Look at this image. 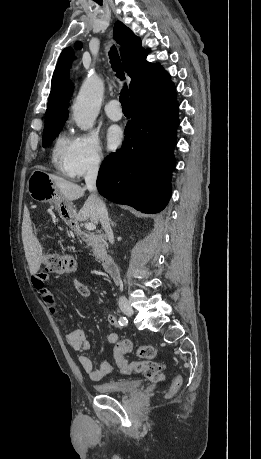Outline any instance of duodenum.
Listing matches in <instances>:
<instances>
[{
    "label": "duodenum",
    "mask_w": 261,
    "mask_h": 459,
    "mask_svg": "<svg viewBox=\"0 0 261 459\" xmlns=\"http://www.w3.org/2000/svg\"><path fill=\"white\" fill-rule=\"evenodd\" d=\"M74 231L79 235L82 239L86 240L87 236L78 228L74 227ZM103 268L107 272V274L114 280L118 279L120 276V270L113 260L111 256H104L102 260Z\"/></svg>",
    "instance_id": "1"
}]
</instances>
